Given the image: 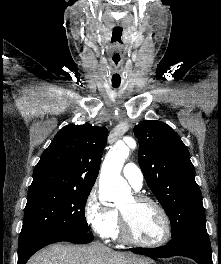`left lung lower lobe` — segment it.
<instances>
[{
  "label": "left lung lower lobe",
  "instance_id": "0a47b994",
  "mask_svg": "<svg viewBox=\"0 0 221 264\" xmlns=\"http://www.w3.org/2000/svg\"><path fill=\"white\" fill-rule=\"evenodd\" d=\"M134 253L151 257L168 258L184 256L198 264H213L211 244L206 232H187L172 238L165 246L158 248H132Z\"/></svg>",
  "mask_w": 221,
  "mask_h": 264
}]
</instances>
